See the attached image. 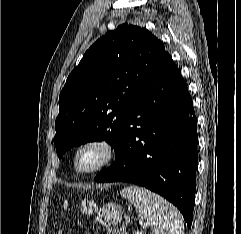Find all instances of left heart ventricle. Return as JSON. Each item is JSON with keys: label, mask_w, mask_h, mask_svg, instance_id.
<instances>
[{"label": "left heart ventricle", "mask_w": 241, "mask_h": 234, "mask_svg": "<svg viewBox=\"0 0 241 234\" xmlns=\"http://www.w3.org/2000/svg\"><path fill=\"white\" fill-rule=\"evenodd\" d=\"M100 157L101 153L98 149L88 148L79 155L78 165L83 169L90 168L97 163Z\"/></svg>", "instance_id": "left-heart-ventricle-1"}]
</instances>
